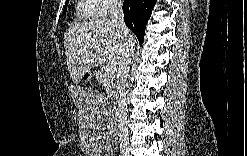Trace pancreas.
<instances>
[{
    "label": "pancreas",
    "instance_id": "cf45deb5",
    "mask_svg": "<svg viewBox=\"0 0 247 156\" xmlns=\"http://www.w3.org/2000/svg\"><path fill=\"white\" fill-rule=\"evenodd\" d=\"M97 79L104 84V88L108 94H111L112 90L115 87V75L107 73L106 71H100L98 73Z\"/></svg>",
    "mask_w": 247,
    "mask_h": 156
}]
</instances>
